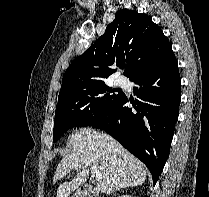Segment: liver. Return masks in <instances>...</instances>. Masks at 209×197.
<instances>
[{
	"instance_id": "obj_1",
	"label": "liver",
	"mask_w": 209,
	"mask_h": 197,
	"mask_svg": "<svg viewBox=\"0 0 209 197\" xmlns=\"http://www.w3.org/2000/svg\"><path fill=\"white\" fill-rule=\"evenodd\" d=\"M72 146L57 166L53 182L61 180L72 169L77 171L70 182L60 184L57 197H68L83 185L89 176V166H96L102 174L97 190L104 194L142 185L146 180L143 163L129 153L111 136L91 128H81L68 138Z\"/></svg>"
}]
</instances>
